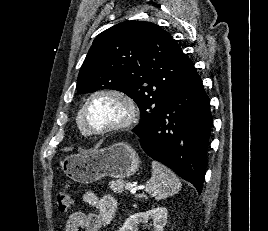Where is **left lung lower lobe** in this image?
Returning <instances> with one entry per match:
<instances>
[{
  "label": "left lung lower lobe",
  "instance_id": "0a47b994",
  "mask_svg": "<svg viewBox=\"0 0 268 231\" xmlns=\"http://www.w3.org/2000/svg\"><path fill=\"white\" fill-rule=\"evenodd\" d=\"M211 127L209 98L194 69L170 93L154 125L136 134L148 156L167 165L201 193Z\"/></svg>",
  "mask_w": 268,
  "mask_h": 231
}]
</instances>
